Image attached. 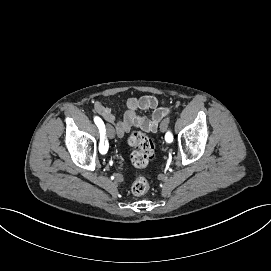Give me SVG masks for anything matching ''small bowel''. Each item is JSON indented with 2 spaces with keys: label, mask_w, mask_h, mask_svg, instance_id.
Wrapping results in <instances>:
<instances>
[{
  "label": "small bowel",
  "mask_w": 271,
  "mask_h": 271,
  "mask_svg": "<svg viewBox=\"0 0 271 271\" xmlns=\"http://www.w3.org/2000/svg\"><path fill=\"white\" fill-rule=\"evenodd\" d=\"M125 105L126 110L120 120L116 119L109 107L100 102L94 104L93 110L120 136L132 127L140 128L145 132H155L159 122L170 112L163 100L151 95L129 98ZM139 111L149 112V115L141 114Z\"/></svg>",
  "instance_id": "1"
}]
</instances>
